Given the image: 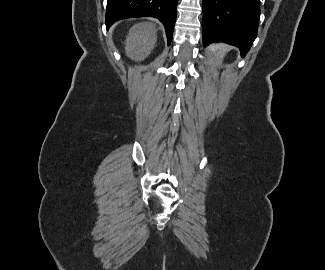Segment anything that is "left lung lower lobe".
<instances>
[{
    "instance_id": "0a47b994",
    "label": "left lung lower lobe",
    "mask_w": 325,
    "mask_h": 270,
    "mask_svg": "<svg viewBox=\"0 0 325 270\" xmlns=\"http://www.w3.org/2000/svg\"><path fill=\"white\" fill-rule=\"evenodd\" d=\"M203 44L226 42L244 57L257 36L260 0H203Z\"/></svg>"
}]
</instances>
